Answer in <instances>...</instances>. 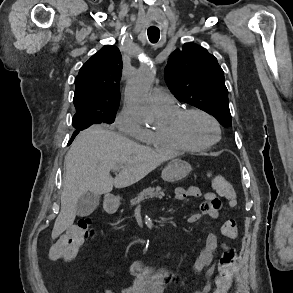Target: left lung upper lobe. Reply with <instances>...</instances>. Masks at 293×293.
<instances>
[{"label": "left lung upper lobe", "instance_id": "left-lung-upper-lobe-1", "mask_svg": "<svg viewBox=\"0 0 293 293\" xmlns=\"http://www.w3.org/2000/svg\"><path fill=\"white\" fill-rule=\"evenodd\" d=\"M169 90L181 101L213 115L224 127L231 126L224 72L206 49L186 43L174 51L165 68Z\"/></svg>", "mask_w": 293, "mask_h": 293}]
</instances>
